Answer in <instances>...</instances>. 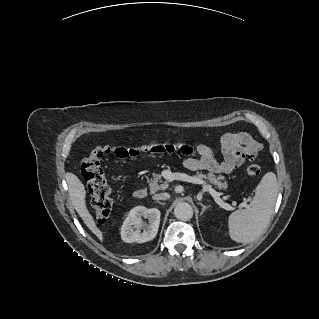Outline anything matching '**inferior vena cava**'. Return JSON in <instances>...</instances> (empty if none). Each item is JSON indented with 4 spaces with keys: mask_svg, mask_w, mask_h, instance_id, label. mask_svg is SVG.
I'll use <instances>...</instances> for the list:
<instances>
[{
    "mask_svg": "<svg viewBox=\"0 0 319 319\" xmlns=\"http://www.w3.org/2000/svg\"><path fill=\"white\" fill-rule=\"evenodd\" d=\"M152 198L156 201L167 200L170 198V195L168 193H158V194L153 195Z\"/></svg>",
    "mask_w": 319,
    "mask_h": 319,
    "instance_id": "1",
    "label": "inferior vena cava"
}]
</instances>
